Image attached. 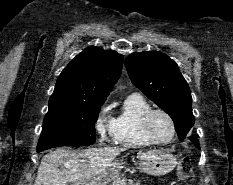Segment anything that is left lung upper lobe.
<instances>
[{"instance_id":"obj_1","label":"left lung upper lobe","mask_w":233,"mask_h":185,"mask_svg":"<svg viewBox=\"0 0 233 185\" xmlns=\"http://www.w3.org/2000/svg\"><path fill=\"white\" fill-rule=\"evenodd\" d=\"M125 66L132 83L173 120L180 140L194 125L192 97L178 65L161 52L129 55Z\"/></svg>"}]
</instances>
